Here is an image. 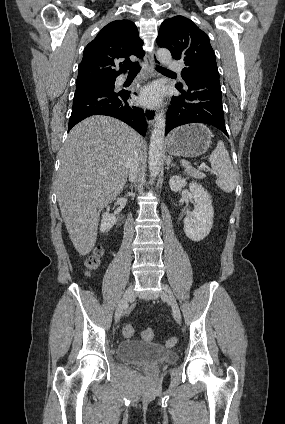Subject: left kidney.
Segmentation results:
<instances>
[{"mask_svg":"<svg viewBox=\"0 0 285 424\" xmlns=\"http://www.w3.org/2000/svg\"><path fill=\"white\" fill-rule=\"evenodd\" d=\"M169 185L173 192H178L187 185V182L186 179L175 175L170 178ZM189 189L196 206L193 212L183 220L184 232L189 239L199 242L211 231L214 209L212 207L211 196L202 185L197 182H191Z\"/></svg>","mask_w":285,"mask_h":424,"instance_id":"1","label":"left kidney"}]
</instances>
